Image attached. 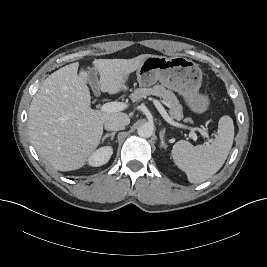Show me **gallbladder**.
<instances>
[{"instance_id": "1", "label": "gallbladder", "mask_w": 267, "mask_h": 267, "mask_svg": "<svg viewBox=\"0 0 267 267\" xmlns=\"http://www.w3.org/2000/svg\"><path fill=\"white\" fill-rule=\"evenodd\" d=\"M86 81L89 82L94 89L96 95L99 94V80L95 69H89L86 74Z\"/></svg>"}]
</instances>
